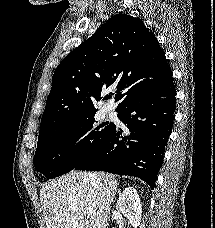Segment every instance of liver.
<instances>
[{"mask_svg":"<svg viewBox=\"0 0 215 228\" xmlns=\"http://www.w3.org/2000/svg\"><path fill=\"white\" fill-rule=\"evenodd\" d=\"M118 186L105 172L73 170L49 180L40 190L46 228H107Z\"/></svg>","mask_w":215,"mask_h":228,"instance_id":"obj_1","label":"liver"}]
</instances>
